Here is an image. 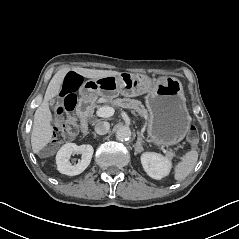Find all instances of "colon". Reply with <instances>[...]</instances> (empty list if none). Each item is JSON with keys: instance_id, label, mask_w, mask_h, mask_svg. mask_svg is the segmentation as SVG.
Returning a JSON list of instances; mask_svg holds the SVG:
<instances>
[{"instance_id": "5ec220e1", "label": "colon", "mask_w": 239, "mask_h": 239, "mask_svg": "<svg viewBox=\"0 0 239 239\" xmlns=\"http://www.w3.org/2000/svg\"><path fill=\"white\" fill-rule=\"evenodd\" d=\"M81 83L82 78L76 73H68L64 78L61 90L63 101L56 109L55 142H63L77 134L78 126L74 111L77 105L76 92ZM186 138L192 146L197 144L198 132L194 126L188 129Z\"/></svg>"}]
</instances>
